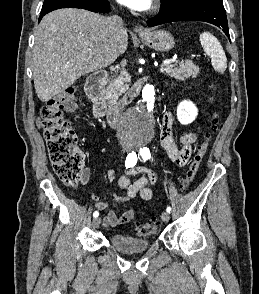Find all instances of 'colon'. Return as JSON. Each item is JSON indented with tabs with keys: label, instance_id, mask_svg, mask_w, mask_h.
<instances>
[{
	"label": "colon",
	"instance_id": "5ec220e1",
	"mask_svg": "<svg viewBox=\"0 0 259 294\" xmlns=\"http://www.w3.org/2000/svg\"><path fill=\"white\" fill-rule=\"evenodd\" d=\"M76 89L69 87L49 99L41 110L44 137L47 142L49 155L54 172L65 184L76 187L82 175L83 154L77 143V134L72 126L64 119L63 111L74 98ZM217 114L212 115L210 130L196 149L190 165L180 181V189L187 190L192 184L201 162L207 152L210 141L218 127ZM159 228L155 217L137 226V235L146 237L153 235Z\"/></svg>",
	"mask_w": 259,
	"mask_h": 294
}]
</instances>
